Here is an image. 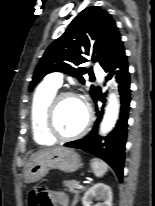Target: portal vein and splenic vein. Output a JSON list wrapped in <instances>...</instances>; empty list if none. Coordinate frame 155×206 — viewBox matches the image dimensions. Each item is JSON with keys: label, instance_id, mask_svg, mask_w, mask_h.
<instances>
[{"label": "portal vein and splenic vein", "instance_id": "18ae733b", "mask_svg": "<svg viewBox=\"0 0 155 206\" xmlns=\"http://www.w3.org/2000/svg\"><path fill=\"white\" fill-rule=\"evenodd\" d=\"M77 188L81 189V188H83V185H78Z\"/></svg>", "mask_w": 155, "mask_h": 206}]
</instances>
